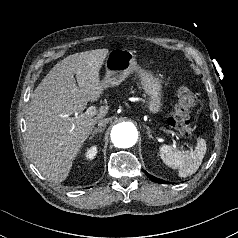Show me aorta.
I'll use <instances>...</instances> for the list:
<instances>
[{"mask_svg":"<svg viewBox=\"0 0 238 238\" xmlns=\"http://www.w3.org/2000/svg\"><path fill=\"white\" fill-rule=\"evenodd\" d=\"M138 139L136 127L130 123L116 124L111 131V140L116 147H132Z\"/></svg>","mask_w":238,"mask_h":238,"instance_id":"aorta-1","label":"aorta"}]
</instances>
